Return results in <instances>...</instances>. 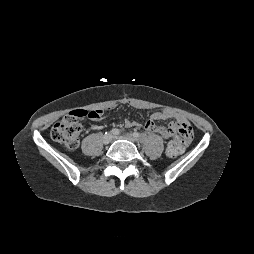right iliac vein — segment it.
I'll list each match as a JSON object with an SVG mask.
<instances>
[{"mask_svg": "<svg viewBox=\"0 0 254 254\" xmlns=\"http://www.w3.org/2000/svg\"><path fill=\"white\" fill-rule=\"evenodd\" d=\"M112 140H113V135L111 133H107L103 137V143L104 144H109V143L112 142Z\"/></svg>", "mask_w": 254, "mask_h": 254, "instance_id": "right-iliac-vein-1", "label": "right iliac vein"}]
</instances>
